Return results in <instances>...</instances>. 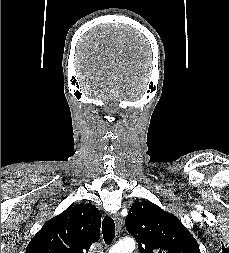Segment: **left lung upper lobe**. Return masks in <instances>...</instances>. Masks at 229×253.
<instances>
[{
    "mask_svg": "<svg viewBox=\"0 0 229 253\" xmlns=\"http://www.w3.org/2000/svg\"><path fill=\"white\" fill-rule=\"evenodd\" d=\"M125 226L137 240L140 253H200L181 221L150 201L133 203Z\"/></svg>",
    "mask_w": 229,
    "mask_h": 253,
    "instance_id": "5c2ea615",
    "label": "left lung upper lobe"
}]
</instances>
